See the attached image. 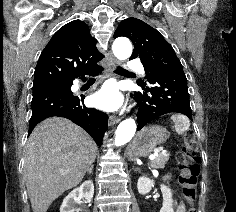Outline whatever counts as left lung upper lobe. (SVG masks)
<instances>
[{
    "instance_id": "left-lung-upper-lobe-1",
    "label": "left lung upper lobe",
    "mask_w": 236,
    "mask_h": 212,
    "mask_svg": "<svg viewBox=\"0 0 236 212\" xmlns=\"http://www.w3.org/2000/svg\"><path fill=\"white\" fill-rule=\"evenodd\" d=\"M128 37L134 50L130 59L139 57L146 73V80H138V85L147 84L151 70L160 71L164 68L181 65L172 46L163 36L150 25L136 18L123 20L114 33V38Z\"/></svg>"
}]
</instances>
